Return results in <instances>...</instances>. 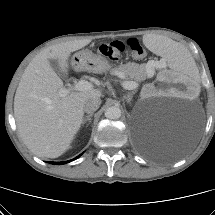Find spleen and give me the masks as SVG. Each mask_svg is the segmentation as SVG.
I'll list each match as a JSON object with an SVG mask.
<instances>
[{
    "label": "spleen",
    "mask_w": 215,
    "mask_h": 215,
    "mask_svg": "<svg viewBox=\"0 0 215 215\" xmlns=\"http://www.w3.org/2000/svg\"><path fill=\"white\" fill-rule=\"evenodd\" d=\"M144 43L148 48L162 55L173 71L179 72L188 81L194 79L198 68L194 55L189 51L169 39L153 34L146 35Z\"/></svg>",
    "instance_id": "obj_1"
}]
</instances>
